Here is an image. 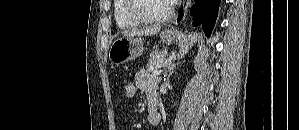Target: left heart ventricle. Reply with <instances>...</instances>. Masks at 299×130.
<instances>
[{"label":"left heart ventricle","mask_w":299,"mask_h":130,"mask_svg":"<svg viewBox=\"0 0 299 130\" xmlns=\"http://www.w3.org/2000/svg\"><path fill=\"white\" fill-rule=\"evenodd\" d=\"M170 4L164 0H145L140 4L141 11L149 16H163L169 10Z\"/></svg>","instance_id":"b2bd125f"}]
</instances>
